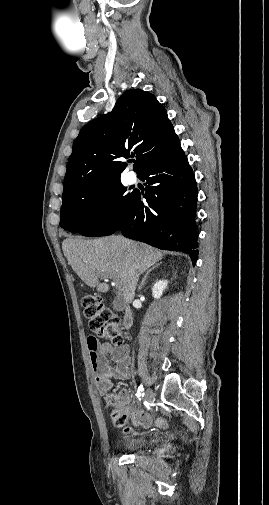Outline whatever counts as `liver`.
Instances as JSON below:
<instances>
[{
    "label": "liver",
    "mask_w": 269,
    "mask_h": 505,
    "mask_svg": "<svg viewBox=\"0 0 269 505\" xmlns=\"http://www.w3.org/2000/svg\"><path fill=\"white\" fill-rule=\"evenodd\" d=\"M62 249L75 273L98 292L106 293L109 285L100 283L104 275L120 284L125 303H131L139 276L163 258V253L147 244L121 235L85 240L70 237Z\"/></svg>",
    "instance_id": "liver-1"
}]
</instances>
